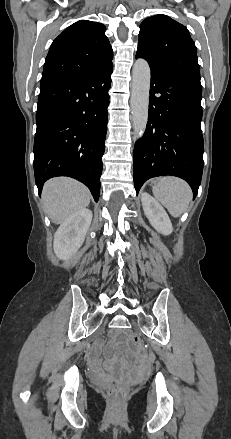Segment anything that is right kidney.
<instances>
[{"label":"right kidney","mask_w":231,"mask_h":439,"mask_svg":"<svg viewBox=\"0 0 231 439\" xmlns=\"http://www.w3.org/2000/svg\"><path fill=\"white\" fill-rule=\"evenodd\" d=\"M92 221V212L82 209L68 217L54 235V252L63 260L68 259L81 247Z\"/></svg>","instance_id":"right-kidney-1"}]
</instances>
